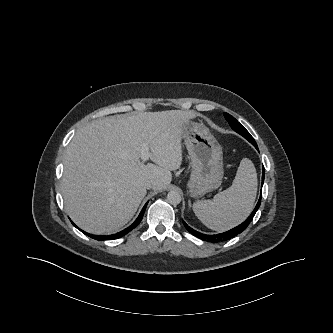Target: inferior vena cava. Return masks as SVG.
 Segmentation results:
<instances>
[{"instance_id": "obj_1", "label": "inferior vena cava", "mask_w": 333, "mask_h": 333, "mask_svg": "<svg viewBox=\"0 0 333 333\" xmlns=\"http://www.w3.org/2000/svg\"><path fill=\"white\" fill-rule=\"evenodd\" d=\"M145 186L147 189L154 188L155 182L153 180H149L146 182Z\"/></svg>"}]
</instances>
